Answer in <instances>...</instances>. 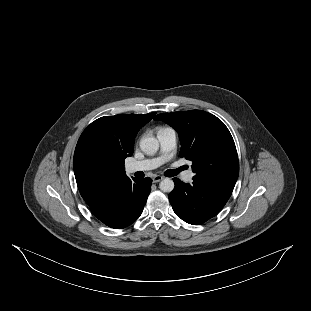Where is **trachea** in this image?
I'll return each mask as SVG.
<instances>
[{
	"mask_svg": "<svg viewBox=\"0 0 311 311\" xmlns=\"http://www.w3.org/2000/svg\"><path fill=\"white\" fill-rule=\"evenodd\" d=\"M188 168L187 165L181 166L178 169H173V170H169L168 174L166 175L167 177H172L174 175H177L179 172L186 170Z\"/></svg>",
	"mask_w": 311,
	"mask_h": 311,
	"instance_id": "1",
	"label": "trachea"
}]
</instances>
